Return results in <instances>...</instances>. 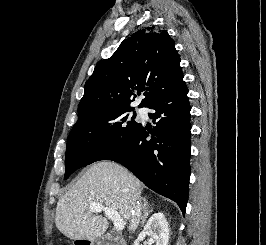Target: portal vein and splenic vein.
Segmentation results:
<instances>
[{
	"label": "portal vein and splenic vein",
	"mask_w": 266,
	"mask_h": 245,
	"mask_svg": "<svg viewBox=\"0 0 266 245\" xmlns=\"http://www.w3.org/2000/svg\"><path fill=\"white\" fill-rule=\"evenodd\" d=\"M90 209L92 213H101V211H104L108 219L113 221L115 229H117V231H123L124 221L121 219L120 215H118L117 211H115V209L104 207V205H101V203H91Z\"/></svg>",
	"instance_id": "18ae733b"
}]
</instances>
